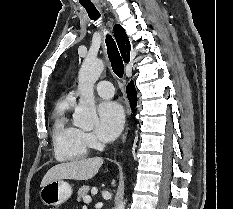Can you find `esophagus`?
<instances>
[{"label": "esophagus", "instance_id": "1", "mask_svg": "<svg viewBox=\"0 0 233 209\" xmlns=\"http://www.w3.org/2000/svg\"><path fill=\"white\" fill-rule=\"evenodd\" d=\"M127 133H128V128H126V131H125V133H124V135H123V137H122V142L125 141V139H126V137H127Z\"/></svg>", "mask_w": 233, "mask_h": 209}]
</instances>
